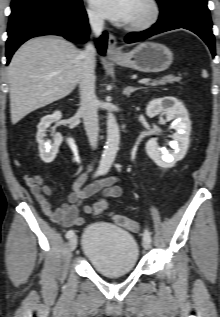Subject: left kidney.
I'll return each mask as SVG.
<instances>
[{
  "label": "left kidney",
  "instance_id": "obj_1",
  "mask_svg": "<svg viewBox=\"0 0 220 317\" xmlns=\"http://www.w3.org/2000/svg\"><path fill=\"white\" fill-rule=\"evenodd\" d=\"M160 113L166 115L168 120H173L171 126L176 130L173 134V141L170 146L174 149L172 154L164 148H159L156 139H150L146 143V153L160 167L170 168L177 161L181 160L189 146L191 122L184 105L174 97L154 99L146 107V114L152 118Z\"/></svg>",
  "mask_w": 220,
  "mask_h": 317
}]
</instances>
